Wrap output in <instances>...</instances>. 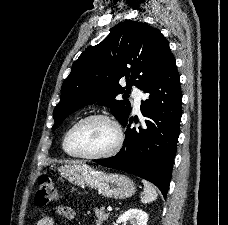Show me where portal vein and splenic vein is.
<instances>
[{"instance_id":"obj_1","label":"portal vein and splenic vein","mask_w":228,"mask_h":225,"mask_svg":"<svg viewBox=\"0 0 228 225\" xmlns=\"http://www.w3.org/2000/svg\"><path fill=\"white\" fill-rule=\"evenodd\" d=\"M107 211H112L111 207H108Z\"/></svg>"}]
</instances>
